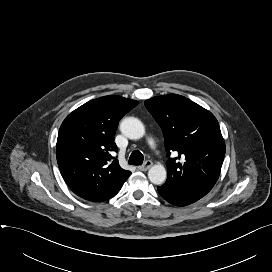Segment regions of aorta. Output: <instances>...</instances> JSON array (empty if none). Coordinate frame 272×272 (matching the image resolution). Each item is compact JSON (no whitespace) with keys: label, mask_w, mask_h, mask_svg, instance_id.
Instances as JSON below:
<instances>
[{"label":"aorta","mask_w":272,"mask_h":272,"mask_svg":"<svg viewBox=\"0 0 272 272\" xmlns=\"http://www.w3.org/2000/svg\"><path fill=\"white\" fill-rule=\"evenodd\" d=\"M120 130L129 139H140L145 134L143 123L135 117L124 118L120 124ZM148 178L155 185L163 184L167 178L165 167L161 164L152 166L148 171Z\"/></svg>","instance_id":"1"}]
</instances>
